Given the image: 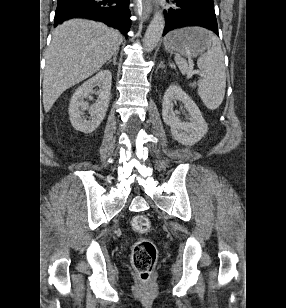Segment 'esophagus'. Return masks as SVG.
<instances>
[{
	"label": "esophagus",
	"instance_id": "1",
	"mask_svg": "<svg viewBox=\"0 0 286 308\" xmlns=\"http://www.w3.org/2000/svg\"><path fill=\"white\" fill-rule=\"evenodd\" d=\"M137 2V11L143 19H147L152 12L150 0H135Z\"/></svg>",
	"mask_w": 286,
	"mask_h": 308
}]
</instances>
